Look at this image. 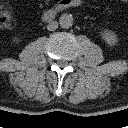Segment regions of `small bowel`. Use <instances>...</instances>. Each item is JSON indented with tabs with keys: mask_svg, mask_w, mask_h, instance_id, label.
Returning a JSON list of instances; mask_svg holds the SVG:
<instances>
[{
	"mask_svg": "<svg viewBox=\"0 0 128 128\" xmlns=\"http://www.w3.org/2000/svg\"><path fill=\"white\" fill-rule=\"evenodd\" d=\"M121 2H128V0H120Z\"/></svg>",
	"mask_w": 128,
	"mask_h": 128,
	"instance_id": "small-bowel-1",
	"label": "small bowel"
}]
</instances>
